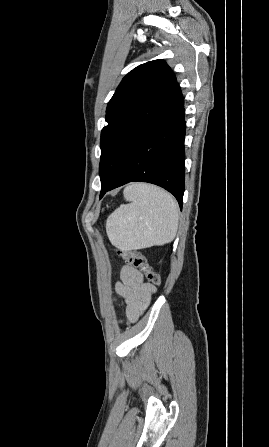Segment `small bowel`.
<instances>
[{
  "label": "small bowel",
  "instance_id": "small-bowel-1",
  "mask_svg": "<svg viewBox=\"0 0 269 447\" xmlns=\"http://www.w3.org/2000/svg\"><path fill=\"white\" fill-rule=\"evenodd\" d=\"M115 285L117 294L125 300L126 316L133 322L147 309L156 287L144 280L143 274L134 266L124 264Z\"/></svg>",
  "mask_w": 269,
  "mask_h": 447
}]
</instances>
